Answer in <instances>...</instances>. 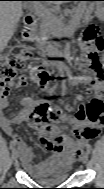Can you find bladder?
<instances>
[{
    "instance_id": "1",
    "label": "bladder",
    "mask_w": 104,
    "mask_h": 189,
    "mask_svg": "<svg viewBox=\"0 0 104 189\" xmlns=\"http://www.w3.org/2000/svg\"><path fill=\"white\" fill-rule=\"evenodd\" d=\"M69 169L53 167L48 169L44 175H33L31 177L41 184H59L67 180Z\"/></svg>"
}]
</instances>
